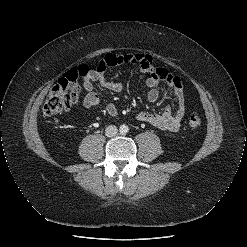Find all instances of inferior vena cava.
<instances>
[{
	"label": "inferior vena cava",
	"instance_id": "1",
	"mask_svg": "<svg viewBox=\"0 0 247 247\" xmlns=\"http://www.w3.org/2000/svg\"><path fill=\"white\" fill-rule=\"evenodd\" d=\"M117 132H118V129H117V127L114 126V125H110V126H108V127L105 129V135H106L107 137H113V136H115V135L117 134Z\"/></svg>",
	"mask_w": 247,
	"mask_h": 247
}]
</instances>
